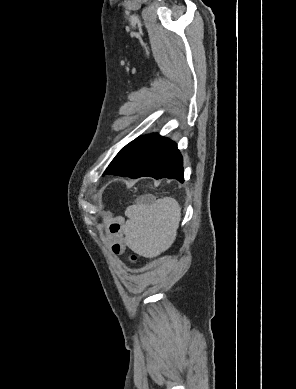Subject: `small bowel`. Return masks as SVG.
Returning a JSON list of instances; mask_svg holds the SVG:
<instances>
[{
    "mask_svg": "<svg viewBox=\"0 0 296 389\" xmlns=\"http://www.w3.org/2000/svg\"><path fill=\"white\" fill-rule=\"evenodd\" d=\"M123 219L113 217L111 214H105L104 229L105 242L111 247L116 254H121L125 250V241L123 238Z\"/></svg>",
    "mask_w": 296,
    "mask_h": 389,
    "instance_id": "obj_1",
    "label": "small bowel"
}]
</instances>
